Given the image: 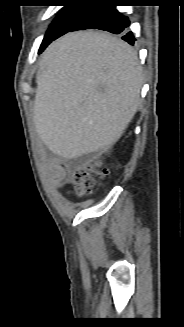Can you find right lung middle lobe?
Segmentation results:
<instances>
[{
  "label": "right lung middle lobe",
  "instance_id": "obj_1",
  "mask_svg": "<svg viewBox=\"0 0 184 327\" xmlns=\"http://www.w3.org/2000/svg\"><path fill=\"white\" fill-rule=\"evenodd\" d=\"M89 6H66L50 25L39 49L41 53L53 40L69 32L84 16Z\"/></svg>",
  "mask_w": 184,
  "mask_h": 327
}]
</instances>
